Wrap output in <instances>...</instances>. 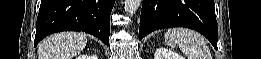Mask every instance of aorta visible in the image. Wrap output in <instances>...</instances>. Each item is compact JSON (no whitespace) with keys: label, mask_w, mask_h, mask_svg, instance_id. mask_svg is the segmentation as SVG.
<instances>
[{"label":"aorta","mask_w":261,"mask_h":59,"mask_svg":"<svg viewBox=\"0 0 261 59\" xmlns=\"http://www.w3.org/2000/svg\"><path fill=\"white\" fill-rule=\"evenodd\" d=\"M141 2L142 0H125L124 1L125 12L128 15L133 16V14H135L138 8L140 7Z\"/></svg>","instance_id":"obj_1"}]
</instances>
